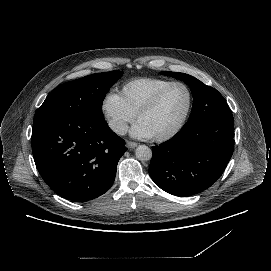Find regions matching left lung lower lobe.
Wrapping results in <instances>:
<instances>
[{
    "label": "left lung lower lobe",
    "mask_w": 271,
    "mask_h": 271,
    "mask_svg": "<svg viewBox=\"0 0 271 271\" xmlns=\"http://www.w3.org/2000/svg\"><path fill=\"white\" fill-rule=\"evenodd\" d=\"M233 118H205L182 129L169 141L153 146L152 180L176 196H192L222 175L234 149Z\"/></svg>",
    "instance_id": "0a47b994"
}]
</instances>
